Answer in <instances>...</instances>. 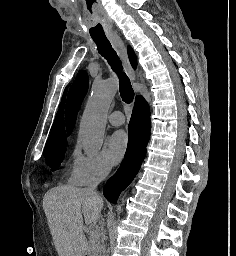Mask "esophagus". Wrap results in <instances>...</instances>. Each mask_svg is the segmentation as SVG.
<instances>
[{"label":"esophagus","instance_id":"34e87169","mask_svg":"<svg viewBox=\"0 0 236 256\" xmlns=\"http://www.w3.org/2000/svg\"><path fill=\"white\" fill-rule=\"evenodd\" d=\"M110 38L112 40V43H113L114 47L117 50L122 62H123L124 68H125L126 72L128 73V76L130 77V79L133 82H135L136 81V74H135V71L133 70V68L130 65L128 55H127V51H126V47L124 45L123 40L121 39V37L117 33H114L113 35H111Z\"/></svg>","mask_w":236,"mask_h":256}]
</instances>
